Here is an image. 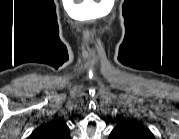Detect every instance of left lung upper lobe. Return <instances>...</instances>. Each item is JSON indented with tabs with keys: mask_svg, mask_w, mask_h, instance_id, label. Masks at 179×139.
<instances>
[{
	"mask_svg": "<svg viewBox=\"0 0 179 139\" xmlns=\"http://www.w3.org/2000/svg\"><path fill=\"white\" fill-rule=\"evenodd\" d=\"M110 137H131L141 139L154 138L146 126L131 120L125 121L114 128L110 134Z\"/></svg>",
	"mask_w": 179,
	"mask_h": 139,
	"instance_id": "5c2ea615",
	"label": "left lung upper lobe"
}]
</instances>
